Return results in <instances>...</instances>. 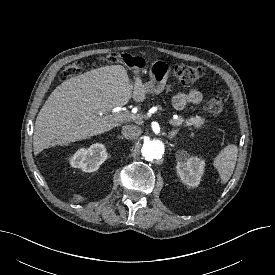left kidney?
I'll return each instance as SVG.
<instances>
[{"mask_svg":"<svg viewBox=\"0 0 275 275\" xmlns=\"http://www.w3.org/2000/svg\"><path fill=\"white\" fill-rule=\"evenodd\" d=\"M204 161L196 156H190L186 151L177 154V174L182 182L188 186L196 187L200 184L204 173Z\"/></svg>","mask_w":275,"mask_h":275,"instance_id":"obj_1","label":"left kidney"}]
</instances>
